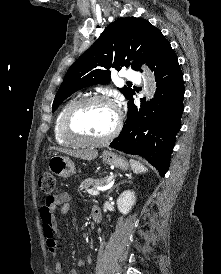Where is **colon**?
Segmentation results:
<instances>
[{"mask_svg":"<svg viewBox=\"0 0 221 274\" xmlns=\"http://www.w3.org/2000/svg\"><path fill=\"white\" fill-rule=\"evenodd\" d=\"M56 179L50 172L43 173L39 178V187L45 194H51L55 188Z\"/></svg>","mask_w":221,"mask_h":274,"instance_id":"obj_1","label":"colon"}]
</instances>
